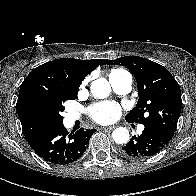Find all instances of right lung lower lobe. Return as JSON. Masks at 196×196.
<instances>
[{
    "mask_svg": "<svg viewBox=\"0 0 196 196\" xmlns=\"http://www.w3.org/2000/svg\"><path fill=\"white\" fill-rule=\"evenodd\" d=\"M95 131L80 129L69 134L61 124L40 132L28 143L45 161L59 165L69 164L82 157Z\"/></svg>",
    "mask_w": 196,
    "mask_h": 196,
    "instance_id": "right-lung-lower-lobe-1",
    "label": "right lung lower lobe"
}]
</instances>
